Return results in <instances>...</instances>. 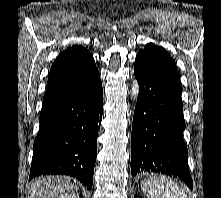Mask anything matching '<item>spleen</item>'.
Returning a JSON list of instances; mask_svg holds the SVG:
<instances>
[{
    "instance_id": "obj_1",
    "label": "spleen",
    "mask_w": 221,
    "mask_h": 198,
    "mask_svg": "<svg viewBox=\"0 0 221 198\" xmlns=\"http://www.w3.org/2000/svg\"><path fill=\"white\" fill-rule=\"evenodd\" d=\"M141 189L148 198H186L177 182L165 175H155L144 180Z\"/></svg>"
}]
</instances>
